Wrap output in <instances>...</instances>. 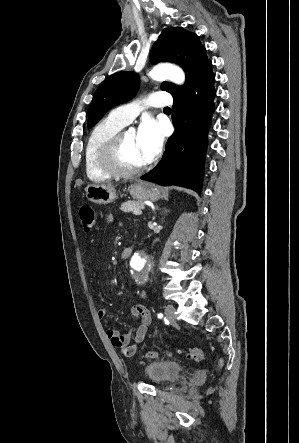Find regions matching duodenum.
Wrapping results in <instances>:
<instances>
[{"label":"duodenum","instance_id":"410a0bca","mask_svg":"<svg viewBox=\"0 0 299 443\" xmlns=\"http://www.w3.org/2000/svg\"><path fill=\"white\" fill-rule=\"evenodd\" d=\"M132 251H133V247H132V246L126 247V248L121 252L120 257H121L122 259H126V258H128V257L132 254Z\"/></svg>","mask_w":299,"mask_h":443}]
</instances>
